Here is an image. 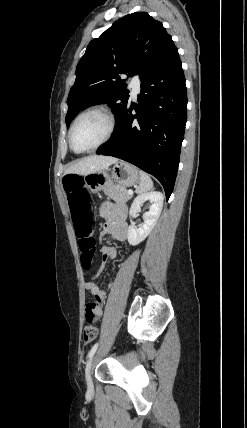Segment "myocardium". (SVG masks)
<instances>
[{
  "mask_svg": "<svg viewBox=\"0 0 247 428\" xmlns=\"http://www.w3.org/2000/svg\"><path fill=\"white\" fill-rule=\"evenodd\" d=\"M92 113L101 114L107 120L108 129H107L106 135L104 136V138L99 143H97L93 147L86 148V149L77 148L73 142V132H74L75 126H76L77 122L82 117L89 115V114H92ZM115 129H116V117H115L114 113L110 109H108L107 107L93 106V107L87 108L84 111L80 112L75 117V119L73 120L71 127L69 129V135H68L69 144L75 152H78V153L92 152V151L97 150L98 148H100L104 144H106L112 138V136L115 132Z\"/></svg>",
  "mask_w": 247,
  "mask_h": 428,
  "instance_id": "myocardium-1",
  "label": "myocardium"
}]
</instances>
